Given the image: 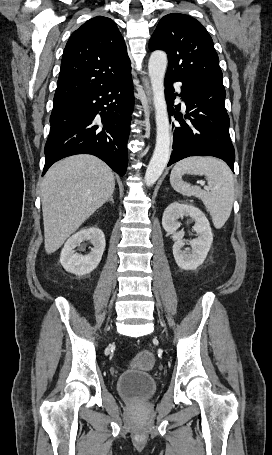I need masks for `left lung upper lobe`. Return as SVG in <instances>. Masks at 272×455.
I'll use <instances>...</instances> for the list:
<instances>
[{
  "mask_svg": "<svg viewBox=\"0 0 272 455\" xmlns=\"http://www.w3.org/2000/svg\"><path fill=\"white\" fill-rule=\"evenodd\" d=\"M151 51L168 54L167 73L190 74L207 80L222 81V71L212 38L196 19L179 13L164 16L150 41Z\"/></svg>",
  "mask_w": 272,
  "mask_h": 455,
  "instance_id": "left-lung-upper-lobe-1",
  "label": "left lung upper lobe"
}]
</instances>
